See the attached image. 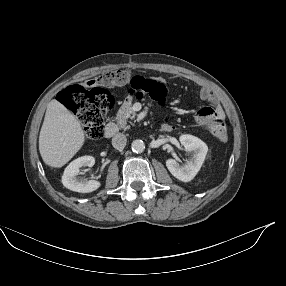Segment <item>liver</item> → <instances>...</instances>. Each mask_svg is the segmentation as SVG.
<instances>
[{
    "label": "liver",
    "mask_w": 286,
    "mask_h": 286,
    "mask_svg": "<svg viewBox=\"0 0 286 286\" xmlns=\"http://www.w3.org/2000/svg\"><path fill=\"white\" fill-rule=\"evenodd\" d=\"M84 131L78 119L58 100L49 102L39 135V151L44 163L64 166L83 146Z\"/></svg>",
    "instance_id": "6515ba94"
}]
</instances>
